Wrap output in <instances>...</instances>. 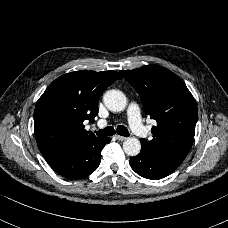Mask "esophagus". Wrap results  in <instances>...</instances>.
<instances>
[{
    "label": "esophagus",
    "instance_id": "1",
    "mask_svg": "<svg viewBox=\"0 0 228 228\" xmlns=\"http://www.w3.org/2000/svg\"><path fill=\"white\" fill-rule=\"evenodd\" d=\"M116 138H117L119 141H124V140L127 139L126 137L121 136V135H116Z\"/></svg>",
    "mask_w": 228,
    "mask_h": 228
}]
</instances>
